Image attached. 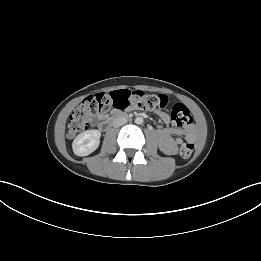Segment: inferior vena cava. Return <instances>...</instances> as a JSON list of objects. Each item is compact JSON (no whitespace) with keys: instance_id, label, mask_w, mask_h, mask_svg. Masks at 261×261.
Instances as JSON below:
<instances>
[{"instance_id":"1","label":"inferior vena cava","mask_w":261,"mask_h":261,"mask_svg":"<svg viewBox=\"0 0 261 261\" xmlns=\"http://www.w3.org/2000/svg\"><path fill=\"white\" fill-rule=\"evenodd\" d=\"M126 123H127V118H125V117H118V118L114 119L113 127H120V126H122V125H124Z\"/></svg>"}]
</instances>
